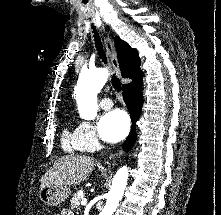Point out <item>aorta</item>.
Segmentation results:
<instances>
[{
  "label": "aorta",
  "instance_id": "aorta-1",
  "mask_svg": "<svg viewBox=\"0 0 221 215\" xmlns=\"http://www.w3.org/2000/svg\"><path fill=\"white\" fill-rule=\"evenodd\" d=\"M109 73L105 68H97L81 74L75 87L78 112L81 118L93 120L97 116V94L107 82ZM127 166L119 168L112 180L111 189L107 195L106 205L100 215H113L116 210L128 181Z\"/></svg>",
  "mask_w": 221,
  "mask_h": 215
}]
</instances>
